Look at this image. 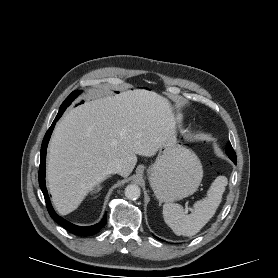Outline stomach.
<instances>
[{
  "instance_id": "1",
  "label": "stomach",
  "mask_w": 278,
  "mask_h": 278,
  "mask_svg": "<svg viewBox=\"0 0 278 278\" xmlns=\"http://www.w3.org/2000/svg\"><path fill=\"white\" fill-rule=\"evenodd\" d=\"M151 188L160 202H173L192 195L199 187L202 164L197 155L173 135L160 147L147 170Z\"/></svg>"
}]
</instances>
